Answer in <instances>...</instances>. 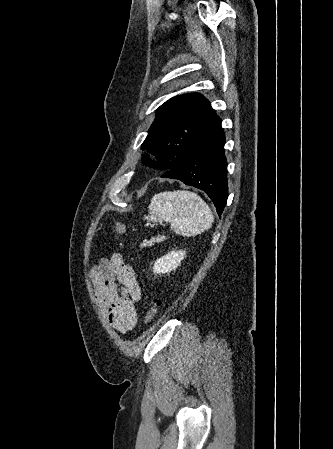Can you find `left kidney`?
Here are the masks:
<instances>
[{"instance_id": "1", "label": "left kidney", "mask_w": 333, "mask_h": 449, "mask_svg": "<svg viewBox=\"0 0 333 449\" xmlns=\"http://www.w3.org/2000/svg\"><path fill=\"white\" fill-rule=\"evenodd\" d=\"M185 255L186 253L183 250L167 253L166 255L156 260L153 267V272L155 274H165L167 272H170L171 270L179 266L180 262L185 258Z\"/></svg>"}]
</instances>
